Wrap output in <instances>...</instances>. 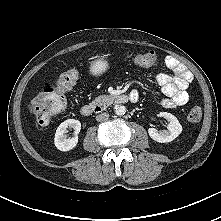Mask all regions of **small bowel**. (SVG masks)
Segmentation results:
<instances>
[{"label":"small bowel","instance_id":"obj_1","mask_svg":"<svg viewBox=\"0 0 221 221\" xmlns=\"http://www.w3.org/2000/svg\"><path fill=\"white\" fill-rule=\"evenodd\" d=\"M165 65L173 74L161 73L157 77V82L164 95L161 103L167 108L185 105L189 101L187 88L192 81V75L188 69L174 57H166ZM133 93L138 94L137 92H132L131 94Z\"/></svg>","mask_w":221,"mask_h":221}]
</instances>
